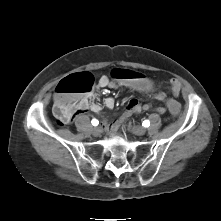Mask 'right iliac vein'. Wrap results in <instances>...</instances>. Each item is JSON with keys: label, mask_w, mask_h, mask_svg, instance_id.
<instances>
[{"label": "right iliac vein", "mask_w": 221, "mask_h": 221, "mask_svg": "<svg viewBox=\"0 0 221 221\" xmlns=\"http://www.w3.org/2000/svg\"><path fill=\"white\" fill-rule=\"evenodd\" d=\"M92 133L94 136H99L102 133V128L100 126L93 128Z\"/></svg>", "instance_id": "1"}]
</instances>
